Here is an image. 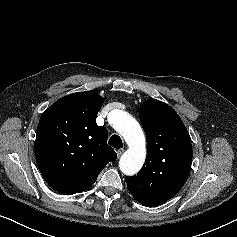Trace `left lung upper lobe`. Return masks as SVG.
I'll use <instances>...</instances> for the list:
<instances>
[{"label":"left lung upper lobe","mask_w":237,"mask_h":237,"mask_svg":"<svg viewBox=\"0 0 237 237\" xmlns=\"http://www.w3.org/2000/svg\"><path fill=\"white\" fill-rule=\"evenodd\" d=\"M139 118L147 137V158L137 175L125 181L138 202L152 207L175 196L185 184L191 170V139L179 115L164 102L146 100Z\"/></svg>","instance_id":"obj_1"}]
</instances>
